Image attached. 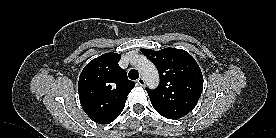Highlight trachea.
<instances>
[{
  "instance_id": "3493384b",
  "label": "trachea",
  "mask_w": 276,
  "mask_h": 138,
  "mask_svg": "<svg viewBox=\"0 0 276 138\" xmlns=\"http://www.w3.org/2000/svg\"><path fill=\"white\" fill-rule=\"evenodd\" d=\"M128 76L131 80H136L139 78V73L137 70L135 69H131L128 73Z\"/></svg>"
}]
</instances>
